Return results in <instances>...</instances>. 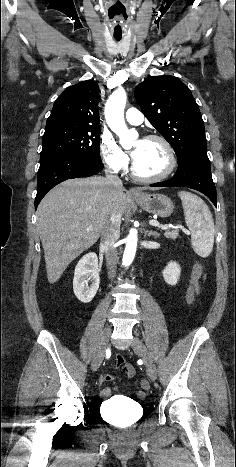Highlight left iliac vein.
<instances>
[{"mask_svg":"<svg viewBox=\"0 0 236 467\" xmlns=\"http://www.w3.org/2000/svg\"><path fill=\"white\" fill-rule=\"evenodd\" d=\"M133 350L142 357L147 368V374L149 378L154 381L157 378L156 366L147 350L145 344L138 337H134L132 341Z\"/></svg>","mask_w":236,"mask_h":467,"instance_id":"left-iliac-vein-1","label":"left iliac vein"}]
</instances>
